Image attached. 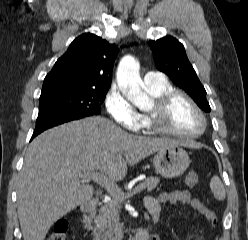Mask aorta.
<instances>
[{
	"label": "aorta",
	"mask_w": 248,
	"mask_h": 240,
	"mask_svg": "<svg viewBox=\"0 0 248 240\" xmlns=\"http://www.w3.org/2000/svg\"><path fill=\"white\" fill-rule=\"evenodd\" d=\"M139 62L132 56L121 59L117 68V84L123 95L134 105L142 107L149 102L146 93L141 90Z\"/></svg>",
	"instance_id": "obj_1"
}]
</instances>
